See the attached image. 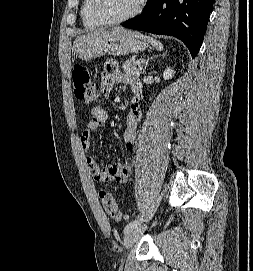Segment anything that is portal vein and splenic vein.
<instances>
[{
  "label": "portal vein and splenic vein",
  "mask_w": 253,
  "mask_h": 271,
  "mask_svg": "<svg viewBox=\"0 0 253 271\" xmlns=\"http://www.w3.org/2000/svg\"><path fill=\"white\" fill-rule=\"evenodd\" d=\"M136 64H137V65H141V62H140V61H137Z\"/></svg>",
  "instance_id": "portal-vein-and-splenic-vein-1"
}]
</instances>
